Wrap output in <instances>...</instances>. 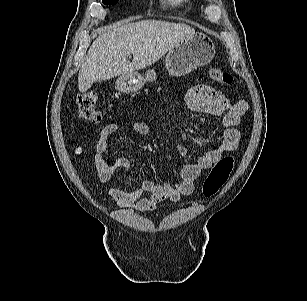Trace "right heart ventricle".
I'll return each mask as SVG.
<instances>
[{
	"label": "right heart ventricle",
	"mask_w": 307,
	"mask_h": 301,
	"mask_svg": "<svg viewBox=\"0 0 307 301\" xmlns=\"http://www.w3.org/2000/svg\"><path fill=\"white\" fill-rule=\"evenodd\" d=\"M169 3L174 4V5H178V4H182L184 2H186V0H168Z\"/></svg>",
	"instance_id": "right-heart-ventricle-1"
}]
</instances>
